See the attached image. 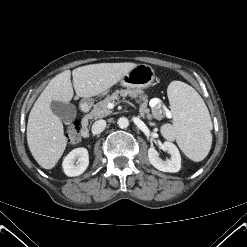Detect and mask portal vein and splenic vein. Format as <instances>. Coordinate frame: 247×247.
<instances>
[{
    "label": "portal vein and splenic vein",
    "instance_id": "obj_1",
    "mask_svg": "<svg viewBox=\"0 0 247 247\" xmlns=\"http://www.w3.org/2000/svg\"><path fill=\"white\" fill-rule=\"evenodd\" d=\"M164 110H165L166 117L167 118H172L171 112L167 108H164Z\"/></svg>",
    "mask_w": 247,
    "mask_h": 247
}]
</instances>
